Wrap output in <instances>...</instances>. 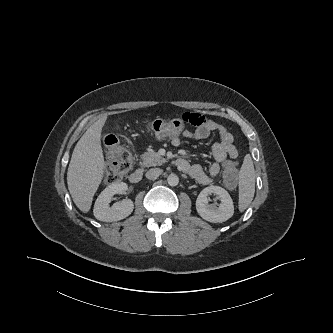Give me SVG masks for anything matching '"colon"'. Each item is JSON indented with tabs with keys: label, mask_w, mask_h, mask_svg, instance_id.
I'll use <instances>...</instances> for the list:
<instances>
[{
	"label": "colon",
	"mask_w": 333,
	"mask_h": 333,
	"mask_svg": "<svg viewBox=\"0 0 333 333\" xmlns=\"http://www.w3.org/2000/svg\"><path fill=\"white\" fill-rule=\"evenodd\" d=\"M193 115L199 116L197 114ZM200 123V120L191 121L186 118L156 119L150 121L147 124V128L156 137L175 138L182 133L186 124L198 126ZM103 143L106 156L109 160V164L106 169V180L108 183H116L130 171L132 167L131 153L129 149L113 134L106 135ZM223 178L226 186L233 188L237 185L238 169L234 161H227L224 164Z\"/></svg>",
	"instance_id": "5ec220e1"
}]
</instances>
